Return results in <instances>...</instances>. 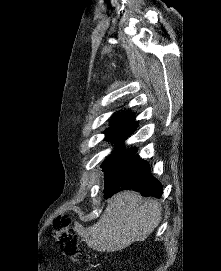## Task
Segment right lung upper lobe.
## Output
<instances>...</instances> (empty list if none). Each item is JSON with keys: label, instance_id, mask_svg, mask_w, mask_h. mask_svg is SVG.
I'll list each match as a JSON object with an SVG mask.
<instances>
[{"label": "right lung upper lobe", "instance_id": "obj_1", "mask_svg": "<svg viewBox=\"0 0 221 271\" xmlns=\"http://www.w3.org/2000/svg\"><path fill=\"white\" fill-rule=\"evenodd\" d=\"M138 125L134 122V116L127 112L118 113L115 115L111 127L107 130L121 131L130 130L135 131Z\"/></svg>", "mask_w": 221, "mask_h": 271}]
</instances>
